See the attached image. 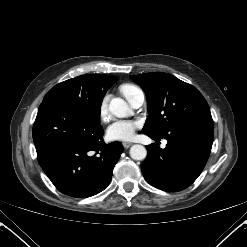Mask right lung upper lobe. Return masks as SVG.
Instances as JSON below:
<instances>
[{
    "instance_id": "right-lung-upper-lobe-1",
    "label": "right lung upper lobe",
    "mask_w": 247,
    "mask_h": 247,
    "mask_svg": "<svg viewBox=\"0 0 247 247\" xmlns=\"http://www.w3.org/2000/svg\"><path fill=\"white\" fill-rule=\"evenodd\" d=\"M95 75H96V78L102 82L103 86L107 90L117 81V78L114 76L100 75V74H95Z\"/></svg>"
}]
</instances>
